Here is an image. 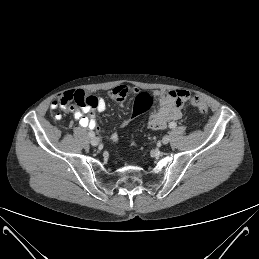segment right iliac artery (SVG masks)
Segmentation results:
<instances>
[{
    "label": "right iliac artery",
    "mask_w": 259,
    "mask_h": 259,
    "mask_svg": "<svg viewBox=\"0 0 259 259\" xmlns=\"http://www.w3.org/2000/svg\"><path fill=\"white\" fill-rule=\"evenodd\" d=\"M88 135H89V137H91V138L95 137V134H94L93 131H90V132L88 133Z\"/></svg>",
    "instance_id": "82829eb1"
}]
</instances>
